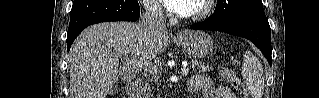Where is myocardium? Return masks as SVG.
I'll use <instances>...</instances> for the list:
<instances>
[{"label":"myocardium","instance_id":"f54148a6","mask_svg":"<svg viewBox=\"0 0 319 98\" xmlns=\"http://www.w3.org/2000/svg\"><path fill=\"white\" fill-rule=\"evenodd\" d=\"M199 6L195 11L189 12L184 15L185 18L190 20H201L205 18L211 11L213 0H197Z\"/></svg>","mask_w":319,"mask_h":98}]
</instances>
